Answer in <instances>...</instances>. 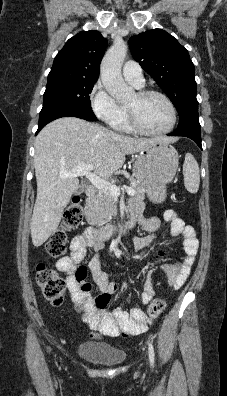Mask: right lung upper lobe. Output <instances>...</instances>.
Masks as SVG:
<instances>
[{
    "label": "right lung upper lobe",
    "instance_id": "right-lung-upper-lobe-1",
    "mask_svg": "<svg viewBox=\"0 0 227 396\" xmlns=\"http://www.w3.org/2000/svg\"><path fill=\"white\" fill-rule=\"evenodd\" d=\"M107 45V39L96 30L80 32L70 38L56 55L50 73L98 78Z\"/></svg>",
    "mask_w": 227,
    "mask_h": 396
}]
</instances>
